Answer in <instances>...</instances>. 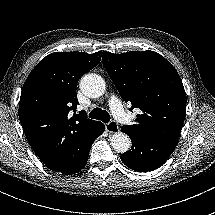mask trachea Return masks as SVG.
I'll list each match as a JSON object with an SVG mask.
<instances>
[{"instance_id": "trachea-1", "label": "trachea", "mask_w": 215, "mask_h": 215, "mask_svg": "<svg viewBox=\"0 0 215 215\" xmlns=\"http://www.w3.org/2000/svg\"><path fill=\"white\" fill-rule=\"evenodd\" d=\"M91 119L101 120L102 122L108 123L110 121V115L106 110L100 108H94L90 113Z\"/></svg>"}]
</instances>
